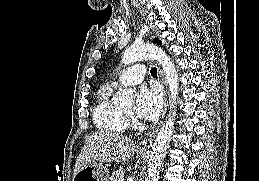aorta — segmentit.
<instances>
[{"mask_svg":"<svg viewBox=\"0 0 259 181\" xmlns=\"http://www.w3.org/2000/svg\"><path fill=\"white\" fill-rule=\"evenodd\" d=\"M147 58L155 59L159 64H161L169 88L170 111L168 119L160 128L152 146L149 159L148 177L146 179V181H157L174 130L176 117L175 106L177 104L176 100L179 91V81L177 70L170 57L161 48H158L153 44L139 43L126 48L123 52L122 63L128 65ZM112 101L116 106H132L134 103V92L131 89L120 88L114 95Z\"/></svg>","mask_w":259,"mask_h":181,"instance_id":"1","label":"aorta"}]
</instances>
